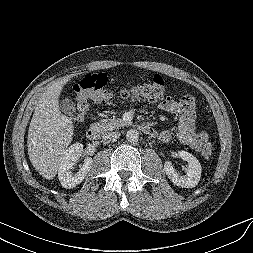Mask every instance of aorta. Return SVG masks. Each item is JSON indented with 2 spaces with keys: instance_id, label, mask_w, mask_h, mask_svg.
<instances>
[{
  "instance_id": "762f6f07",
  "label": "aorta",
  "mask_w": 253,
  "mask_h": 253,
  "mask_svg": "<svg viewBox=\"0 0 253 253\" xmlns=\"http://www.w3.org/2000/svg\"><path fill=\"white\" fill-rule=\"evenodd\" d=\"M126 139L128 142L135 143L139 139V133L135 129H130L126 133Z\"/></svg>"
}]
</instances>
